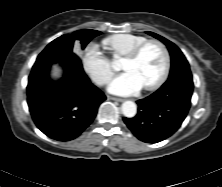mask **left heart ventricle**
Here are the masks:
<instances>
[{"label":"left heart ventricle","mask_w":222,"mask_h":187,"mask_svg":"<svg viewBox=\"0 0 222 187\" xmlns=\"http://www.w3.org/2000/svg\"><path fill=\"white\" fill-rule=\"evenodd\" d=\"M163 66L164 55L162 50L156 45H149L137 60H123L121 68L133 73L142 86H146L158 79Z\"/></svg>","instance_id":"left-heart-ventricle-1"}]
</instances>
